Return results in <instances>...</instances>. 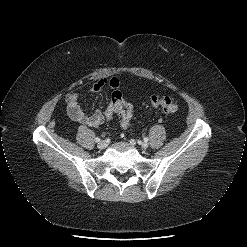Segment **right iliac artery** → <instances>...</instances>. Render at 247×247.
Instances as JSON below:
<instances>
[{
	"label": "right iliac artery",
	"mask_w": 247,
	"mask_h": 247,
	"mask_svg": "<svg viewBox=\"0 0 247 247\" xmlns=\"http://www.w3.org/2000/svg\"><path fill=\"white\" fill-rule=\"evenodd\" d=\"M99 141H100L99 137L95 138V142H99Z\"/></svg>",
	"instance_id": "82829eb1"
}]
</instances>
